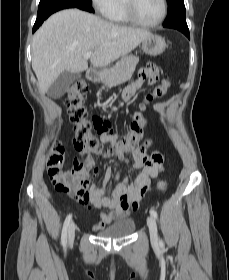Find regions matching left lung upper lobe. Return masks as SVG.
<instances>
[{
  "label": "left lung upper lobe",
  "mask_w": 229,
  "mask_h": 280,
  "mask_svg": "<svg viewBox=\"0 0 229 280\" xmlns=\"http://www.w3.org/2000/svg\"><path fill=\"white\" fill-rule=\"evenodd\" d=\"M168 14L163 26L179 21H186L184 0H167Z\"/></svg>",
  "instance_id": "left-lung-upper-lobe-1"
}]
</instances>
